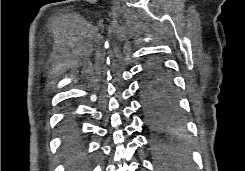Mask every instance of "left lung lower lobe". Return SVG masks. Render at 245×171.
I'll list each match as a JSON object with an SVG mask.
<instances>
[{"label":"left lung lower lobe","mask_w":245,"mask_h":171,"mask_svg":"<svg viewBox=\"0 0 245 171\" xmlns=\"http://www.w3.org/2000/svg\"><path fill=\"white\" fill-rule=\"evenodd\" d=\"M145 64L143 93L148 122L157 129L175 128L179 122V106L173 79L161 62L146 61ZM152 145L161 156L177 155L161 137H154ZM159 161L163 167H177V162H185V157H160Z\"/></svg>","instance_id":"left-lung-lower-lobe-1"}]
</instances>
